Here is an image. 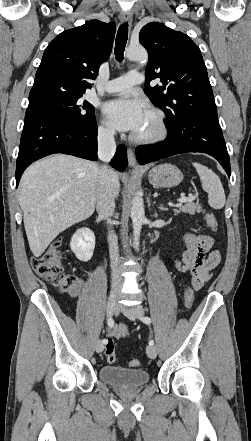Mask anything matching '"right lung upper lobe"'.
Returning a JSON list of instances; mask_svg holds the SVG:
<instances>
[{
  "label": "right lung upper lobe",
  "mask_w": 251,
  "mask_h": 441,
  "mask_svg": "<svg viewBox=\"0 0 251 441\" xmlns=\"http://www.w3.org/2000/svg\"><path fill=\"white\" fill-rule=\"evenodd\" d=\"M116 26L92 20L66 30L46 48L29 102L56 95H82L111 53Z\"/></svg>",
  "instance_id": "1"
}]
</instances>
